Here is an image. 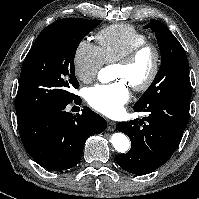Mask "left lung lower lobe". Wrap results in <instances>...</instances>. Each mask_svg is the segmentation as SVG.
Instances as JSON below:
<instances>
[{
  "label": "left lung lower lobe",
  "instance_id": "left-lung-lower-lobe-1",
  "mask_svg": "<svg viewBox=\"0 0 199 199\" xmlns=\"http://www.w3.org/2000/svg\"><path fill=\"white\" fill-rule=\"evenodd\" d=\"M134 108V107H133ZM148 117L127 123H117V129L131 140V149L126 154L116 155L117 164L124 170L143 175L164 163L176 151L189 120L190 101L172 99L151 105Z\"/></svg>",
  "mask_w": 199,
  "mask_h": 199
}]
</instances>
